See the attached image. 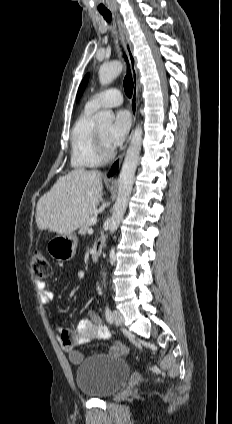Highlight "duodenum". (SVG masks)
I'll list each match as a JSON object with an SVG mask.
<instances>
[{"label":"duodenum","mask_w":232,"mask_h":424,"mask_svg":"<svg viewBox=\"0 0 232 424\" xmlns=\"http://www.w3.org/2000/svg\"><path fill=\"white\" fill-rule=\"evenodd\" d=\"M104 243L105 240L103 237H100L96 243H95V247L93 249V253H92V261L96 262L99 259V256L101 254V251L104 247Z\"/></svg>","instance_id":"duodenum-1"}]
</instances>
